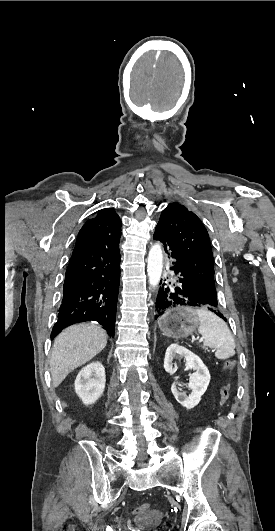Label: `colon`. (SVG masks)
<instances>
[{
    "label": "colon",
    "mask_w": 275,
    "mask_h": 531,
    "mask_svg": "<svg viewBox=\"0 0 275 531\" xmlns=\"http://www.w3.org/2000/svg\"><path fill=\"white\" fill-rule=\"evenodd\" d=\"M235 367H236V363L233 360H228V361L225 362L224 371H225L226 374H230V373L233 372ZM230 400H231V397H230V384L229 383H225V384H223V386L220 389V403L223 404V405H226L227 403L230 402ZM149 507L150 506L148 504H146V503L140 504L136 508V512H138V513L147 512L149 510Z\"/></svg>",
    "instance_id": "colon-1"
}]
</instances>
